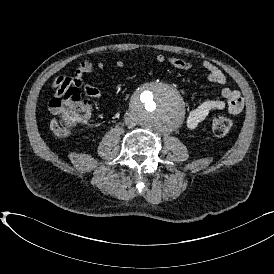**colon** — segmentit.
I'll list each match as a JSON object with an SVG mask.
<instances>
[{
	"label": "colon",
	"instance_id": "1",
	"mask_svg": "<svg viewBox=\"0 0 274 274\" xmlns=\"http://www.w3.org/2000/svg\"><path fill=\"white\" fill-rule=\"evenodd\" d=\"M50 110L59 112L51 120V130L56 135H65L73 127L87 123L93 116V103L82 98L78 91L58 94V101L54 105H47ZM233 128L232 120L226 115H215L211 119V129L216 136L229 133Z\"/></svg>",
	"mask_w": 274,
	"mask_h": 274
}]
</instances>
